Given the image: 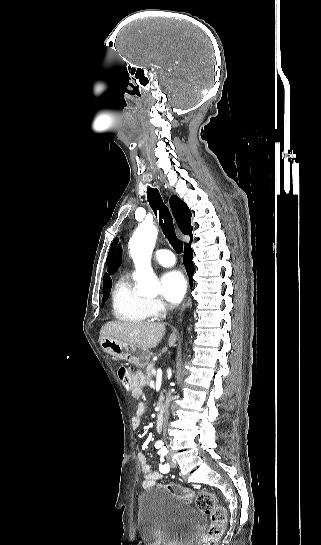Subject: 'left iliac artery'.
Wrapping results in <instances>:
<instances>
[{"mask_svg":"<svg viewBox=\"0 0 321 545\" xmlns=\"http://www.w3.org/2000/svg\"><path fill=\"white\" fill-rule=\"evenodd\" d=\"M158 453L160 455V461L163 463L165 461L164 457L167 455V448L162 447ZM159 469L162 473H167L169 471V464H161Z\"/></svg>","mask_w":321,"mask_h":545,"instance_id":"obj_1","label":"left iliac artery"}]
</instances>
